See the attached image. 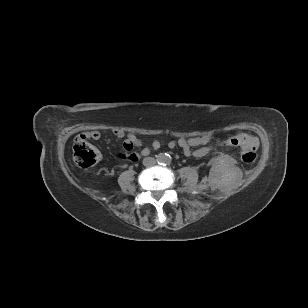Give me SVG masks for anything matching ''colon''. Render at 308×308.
Masks as SVG:
<instances>
[{"label":"colon","mask_w":308,"mask_h":308,"mask_svg":"<svg viewBox=\"0 0 308 308\" xmlns=\"http://www.w3.org/2000/svg\"><path fill=\"white\" fill-rule=\"evenodd\" d=\"M88 135L80 136L76 139L74 146V158L76 162L82 168H89L94 166L101 159V154L94 146H92L87 140ZM229 145L240 146L242 148L241 157L244 162L252 163L256 159V150L259 146V141L246 134H239L234 137H230L227 140ZM127 150L131 149V145H125ZM127 155H123L125 158ZM130 159L136 160L135 155H130Z\"/></svg>","instance_id":"colon-1"}]
</instances>
